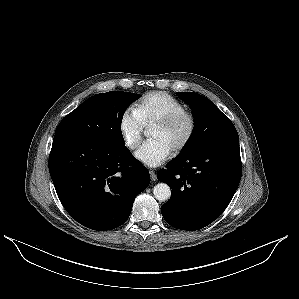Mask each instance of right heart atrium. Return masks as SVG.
Segmentation results:
<instances>
[{
    "instance_id": "d8ad5b80",
    "label": "right heart atrium",
    "mask_w": 299,
    "mask_h": 299,
    "mask_svg": "<svg viewBox=\"0 0 299 299\" xmlns=\"http://www.w3.org/2000/svg\"><path fill=\"white\" fill-rule=\"evenodd\" d=\"M119 130L127 148L134 150L139 146L145 131V125L136 109L127 108L122 113Z\"/></svg>"
}]
</instances>
